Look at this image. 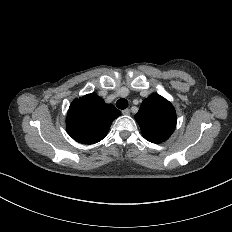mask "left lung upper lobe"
I'll return each mask as SVG.
<instances>
[{
  "label": "left lung upper lobe",
  "mask_w": 232,
  "mask_h": 232,
  "mask_svg": "<svg viewBox=\"0 0 232 232\" xmlns=\"http://www.w3.org/2000/svg\"><path fill=\"white\" fill-rule=\"evenodd\" d=\"M135 119L144 138L153 143L167 140L176 126V112L173 105L156 93L142 102Z\"/></svg>",
  "instance_id": "obj_1"
}]
</instances>
